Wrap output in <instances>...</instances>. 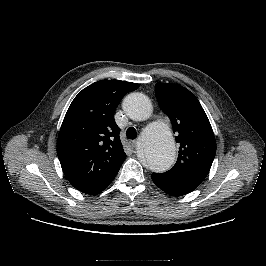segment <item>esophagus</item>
<instances>
[{"instance_id": "1", "label": "esophagus", "mask_w": 266, "mask_h": 266, "mask_svg": "<svg viewBox=\"0 0 266 266\" xmlns=\"http://www.w3.org/2000/svg\"><path fill=\"white\" fill-rule=\"evenodd\" d=\"M136 144H137L136 140L130 141V145H131L132 148H135Z\"/></svg>"}]
</instances>
